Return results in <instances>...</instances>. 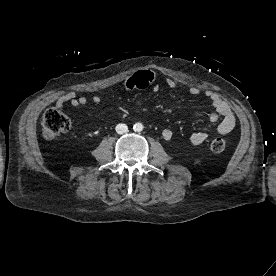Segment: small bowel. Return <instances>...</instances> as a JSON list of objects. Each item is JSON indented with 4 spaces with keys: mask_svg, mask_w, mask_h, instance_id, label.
Wrapping results in <instances>:
<instances>
[{
    "mask_svg": "<svg viewBox=\"0 0 276 276\" xmlns=\"http://www.w3.org/2000/svg\"><path fill=\"white\" fill-rule=\"evenodd\" d=\"M159 80V75L152 70L142 69L137 71L132 77H130L123 85L125 90H143L152 86H156ZM166 86L171 89L177 87V82L170 78L164 77L163 79ZM201 89L195 86H192L188 89V93L192 96H197L201 94ZM205 96L211 101L214 108V112L211 114V120L217 121L221 119L217 126V133L221 135H226L230 133L236 126V119L234 112L227 101L222 99L217 93L206 90L204 91ZM101 97L94 95L92 97L93 103H99ZM87 103V99L82 96H78L75 92H66L61 94L56 99V107L61 109L65 104H70L74 107L83 106ZM162 137L169 141L173 137V132L170 129H165L162 132ZM208 135L204 132H196L190 135L189 140L194 145L202 144L206 141Z\"/></svg>",
    "mask_w": 276,
    "mask_h": 276,
    "instance_id": "small-bowel-1",
    "label": "small bowel"
}]
</instances>
